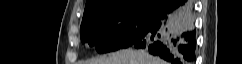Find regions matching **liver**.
I'll list each match as a JSON object with an SVG mask.
<instances>
[{
  "label": "liver",
  "instance_id": "1",
  "mask_svg": "<svg viewBox=\"0 0 242 64\" xmlns=\"http://www.w3.org/2000/svg\"><path fill=\"white\" fill-rule=\"evenodd\" d=\"M193 25V18L190 17ZM85 64H165L159 58L138 50L126 49L109 56L97 57L85 62Z\"/></svg>",
  "mask_w": 242,
  "mask_h": 64
}]
</instances>
